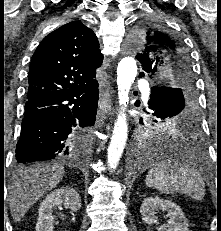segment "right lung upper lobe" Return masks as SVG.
<instances>
[{
    "label": "right lung upper lobe",
    "instance_id": "obj_1",
    "mask_svg": "<svg viewBox=\"0 0 221 231\" xmlns=\"http://www.w3.org/2000/svg\"><path fill=\"white\" fill-rule=\"evenodd\" d=\"M102 59L97 37L90 28L80 21L61 26L47 35L33 54L27 98L91 85Z\"/></svg>",
    "mask_w": 221,
    "mask_h": 231
}]
</instances>
